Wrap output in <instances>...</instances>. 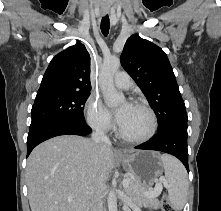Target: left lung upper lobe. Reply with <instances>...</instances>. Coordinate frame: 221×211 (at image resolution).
<instances>
[{
	"mask_svg": "<svg viewBox=\"0 0 221 211\" xmlns=\"http://www.w3.org/2000/svg\"><path fill=\"white\" fill-rule=\"evenodd\" d=\"M121 63L146 96L158 118V131L187 123L184 101L166 53L152 42L132 35Z\"/></svg>",
	"mask_w": 221,
	"mask_h": 211,
	"instance_id": "1",
	"label": "left lung upper lobe"
}]
</instances>
